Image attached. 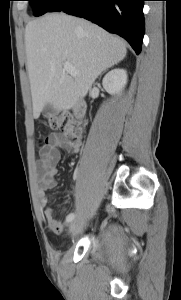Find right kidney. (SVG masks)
Here are the masks:
<instances>
[{
	"label": "right kidney",
	"mask_w": 181,
	"mask_h": 300,
	"mask_svg": "<svg viewBox=\"0 0 181 300\" xmlns=\"http://www.w3.org/2000/svg\"><path fill=\"white\" fill-rule=\"evenodd\" d=\"M104 89L111 95H120L127 84V72L124 69H113L102 81Z\"/></svg>",
	"instance_id": "obj_1"
}]
</instances>
